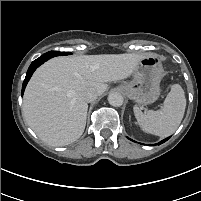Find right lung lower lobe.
<instances>
[{
	"label": "right lung lower lobe",
	"instance_id": "obj_1",
	"mask_svg": "<svg viewBox=\"0 0 201 201\" xmlns=\"http://www.w3.org/2000/svg\"><path fill=\"white\" fill-rule=\"evenodd\" d=\"M52 58V55L51 54H44L42 56H40L38 59L34 60L28 71H27V74H26V77H25V80L23 82V86H22V94L24 93V90H25V87L30 79V77L32 76L33 72L36 70L37 67H39L42 63H44L45 61H47L48 59Z\"/></svg>",
	"mask_w": 201,
	"mask_h": 201
}]
</instances>
